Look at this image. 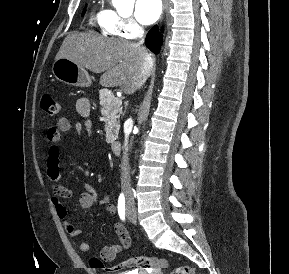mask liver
Wrapping results in <instances>:
<instances>
[{
  "instance_id": "obj_1",
  "label": "liver",
  "mask_w": 289,
  "mask_h": 274,
  "mask_svg": "<svg viewBox=\"0 0 289 274\" xmlns=\"http://www.w3.org/2000/svg\"><path fill=\"white\" fill-rule=\"evenodd\" d=\"M146 55L143 48L123 39L73 32L64 39L55 59L67 58L93 73H104L103 86H119L129 94L145 74Z\"/></svg>"
}]
</instances>
